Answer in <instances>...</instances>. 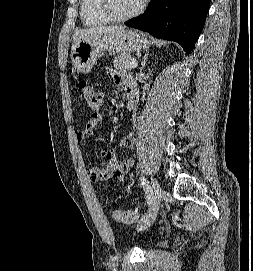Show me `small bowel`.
Masks as SVG:
<instances>
[{"label":"small bowel","mask_w":253,"mask_h":271,"mask_svg":"<svg viewBox=\"0 0 253 271\" xmlns=\"http://www.w3.org/2000/svg\"><path fill=\"white\" fill-rule=\"evenodd\" d=\"M110 77L114 83L119 85L125 93H135V86L129 76L122 75L118 72L109 70ZM103 121V116L100 113L93 114L86 127L79 131L74 130L73 137L76 141L82 142L88 137L94 135L100 128ZM135 139L133 133H129L120 144L112 149H106L103 151V156L107 159L108 163L104 166L92 165L88 168L89 178L93 182L107 184L110 181L122 182L125 180L127 173L133 166L134 161L131 158H127L124 161H120L117 158L118 149L132 148L134 146Z\"/></svg>","instance_id":"c3829d8e"}]
</instances>
